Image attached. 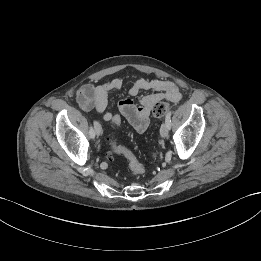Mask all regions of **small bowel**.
Returning a JSON list of instances; mask_svg holds the SVG:
<instances>
[{"mask_svg": "<svg viewBox=\"0 0 261 261\" xmlns=\"http://www.w3.org/2000/svg\"><path fill=\"white\" fill-rule=\"evenodd\" d=\"M124 85L125 82L121 79H111L99 85L87 83L77 91V102L84 111L94 110L103 113L104 121H113L114 118H120V116L105 112L108 106V95ZM143 91L149 93L140 96L137 101L132 98L139 96ZM129 95L130 98H124L118 102V109L138 133H143L148 128L151 110L157 102L163 99L179 102L182 99L179 87L174 82L165 79L131 81Z\"/></svg>", "mask_w": 261, "mask_h": 261, "instance_id": "c3829d8e", "label": "small bowel"}]
</instances>
